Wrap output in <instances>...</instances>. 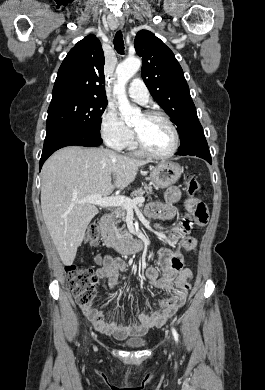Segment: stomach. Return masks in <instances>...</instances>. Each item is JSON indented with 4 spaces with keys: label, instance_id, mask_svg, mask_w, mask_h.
I'll return each instance as SVG.
<instances>
[{
    "label": "stomach",
    "instance_id": "obj_1",
    "mask_svg": "<svg viewBox=\"0 0 265 390\" xmlns=\"http://www.w3.org/2000/svg\"><path fill=\"white\" fill-rule=\"evenodd\" d=\"M183 168L173 162L159 164L151 169L150 182L155 188H167L178 181Z\"/></svg>",
    "mask_w": 265,
    "mask_h": 390
}]
</instances>
